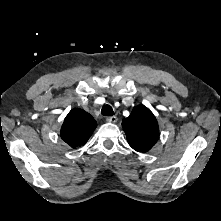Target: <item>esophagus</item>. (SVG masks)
<instances>
[{
    "label": "esophagus",
    "instance_id": "esophagus-1",
    "mask_svg": "<svg viewBox=\"0 0 221 221\" xmlns=\"http://www.w3.org/2000/svg\"><path fill=\"white\" fill-rule=\"evenodd\" d=\"M109 123H116L118 121V118L116 116L107 117L106 119Z\"/></svg>",
    "mask_w": 221,
    "mask_h": 221
}]
</instances>
